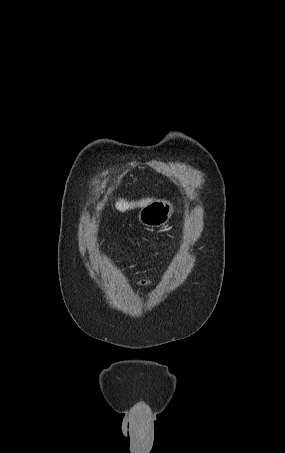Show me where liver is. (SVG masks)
Segmentation results:
<instances>
[{"label":"liver","instance_id":"1","mask_svg":"<svg viewBox=\"0 0 285 453\" xmlns=\"http://www.w3.org/2000/svg\"><path fill=\"white\" fill-rule=\"evenodd\" d=\"M151 201H152V199H150V198L143 199L138 202H134V201L127 202L124 199H120L119 201L116 202L115 207L118 211L125 212L129 209L130 210L134 209L135 207H143Z\"/></svg>","mask_w":285,"mask_h":453}]
</instances>
